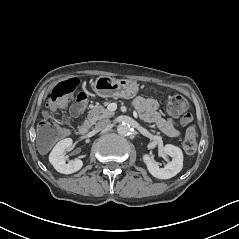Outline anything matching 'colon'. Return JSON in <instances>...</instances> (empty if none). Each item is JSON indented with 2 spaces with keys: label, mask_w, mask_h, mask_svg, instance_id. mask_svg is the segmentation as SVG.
<instances>
[{
  "label": "colon",
  "mask_w": 239,
  "mask_h": 239,
  "mask_svg": "<svg viewBox=\"0 0 239 239\" xmlns=\"http://www.w3.org/2000/svg\"><path fill=\"white\" fill-rule=\"evenodd\" d=\"M79 86L77 78L58 83L47 96V107L51 110L66 103ZM88 94L86 90L78 93L76 101L71 107L72 115H79L86 106ZM186 99L179 95H173L168 101V111L172 115H182L181 123L186 126V135L183 148L187 154H194L197 149L196 129L193 125V117L187 112ZM40 135L44 143H52L64 135V130L55 121L47 118L40 126Z\"/></svg>",
  "instance_id": "5ec220e1"
}]
</instances>
